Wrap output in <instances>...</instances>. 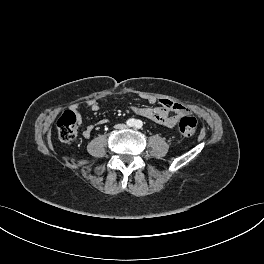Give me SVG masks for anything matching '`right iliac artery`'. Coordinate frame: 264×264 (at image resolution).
Masks as SVG:
<instances>
[{
  "label": "right iliac artery",
  "instance_id": "1",
  "mask_svg": "<svg viewBox=\"0 0 264 264\" xmlns=\"http://www.w3.org/2000/svg\"><path fill=\"white\" fill-rule=\"evenodd\" d=\"M135 120L134 119H128L126 124L129 126V127H133L135 125Z\"/></svg>",
  "mask_w": 264,
  "mask_h": 264
}]
</instances>
